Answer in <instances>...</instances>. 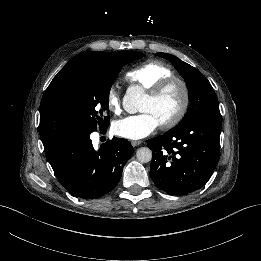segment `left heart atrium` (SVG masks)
I'll return each instance as SVG.
<instances>
[{
	"mask_svg": "<svg viewBox=\"0 0 261 261\" xmlns=\"http://www.w3.org/2000/svg\"><path fill=\"white\" fill-rule=\"evenodd\" d=\"M159 125L160 122L151 112H142L116 121L112 130L119 137L140 140L153 133Z\"/></svg>",
	"mask_w": 261,
	"mask_h": 261,
	"instance_id": "obj_1",
	"label": "left heart atrium"
}]
</instances>
